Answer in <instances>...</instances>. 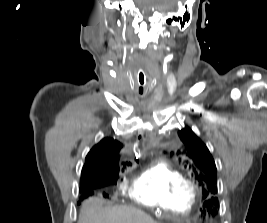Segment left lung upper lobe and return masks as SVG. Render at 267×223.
Wrapping results in <instances>:
<instances>
[{
  "label": "left lung upper lobe",
  "instance_id": "5c2ea615",
  "mask_svg": "<svg viewBox=\"0 0 267 223\" xmlns=\"http://www.w3.org/2000/svg\"><path fill=\"white\" fill-rule=\"evenodd\" d=\"M178 134L184 143V149L177 152L179 161H183L190 166L199 186L202 187L204 196L207 197L202 212L215 215L217 208H219L218 199L211 196L217 193L215 162L206 145L191 128L186 127L180 130Z\"/></svg>",
  "mask_w": 267,
  "mask_h": 223
}]
</instances>
